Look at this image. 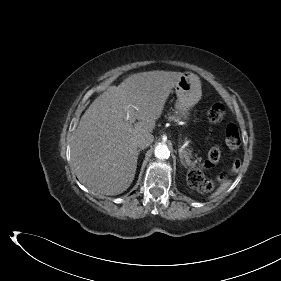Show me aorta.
Listing matches in <instances>:
<instances>
[{"mask_svg": "<svg viewBox=\"0 0 281 281\" xmlns=\"http://www.w3.org/2000/svg\"><path fill=\"white\" fill-rule=\"evenodd\" d=\"M154 153H155V157H157L158 159H162V160L167 159L170 155V151H169L167 145H164V144H158L155 147Z\"/></svg>", "mask_w": 281, "mask_h": 281, "instance_id": "1", "label": "aorta"}]
</instances>
